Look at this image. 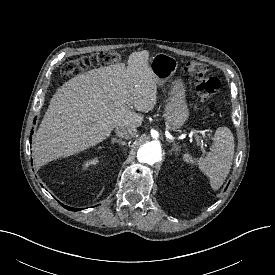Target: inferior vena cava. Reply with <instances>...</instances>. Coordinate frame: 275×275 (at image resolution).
Returning a JSON list of instances; mask_svg holds the SVG:
<instances>
[{"label": "inferior vena cava", "instance_id": "inferior-vena-cava-1", "mask_svg": "<svg viewBox=\"0 0 275 275\" xmlns=\"http://www.w3.org/2000/svg\"><path fill=\"white\" fill-rule=\"evenodd\" d=\"M115 133L121 138L130 139L136 136L137 129L134 126L121 125L116 127Z\"/></svg>", "mask_w": 275, "mask_h": 275}]
</instances>
